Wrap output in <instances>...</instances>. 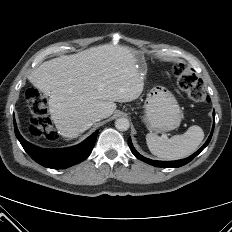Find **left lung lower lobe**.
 <instances>
[{
    "instance_id": "obj_1",
    "label": "left lung lower lobe",
    "mask_w": 232,
    "mask_h": 232,
    "mask_svg": "<svg viewBox=\"0 0 232 232\" xmlns=\"http://www.w3.org/2000/svg\"><path fill=\"white\" fill-rule=\"evenodd\" d=\"M213 116H214V119H215V112H213ZM213 129H214V125H213ZM212 134H213V130L208 138V140L205 142V144L197 151L195 152L193 155H191L190 157L188 158H185V159H182V160H178V161H155V160H150L148 158H145L143 157L142 155H140L133 147L132 143H131V139L129 138L128 139V145L132 151V153L140 160L150 164V165H153V166H156V167H180V166H183L187 163H189L192 159H194L210 142L211 140V137H212Z\"/></svg>"
}]
</instances>
